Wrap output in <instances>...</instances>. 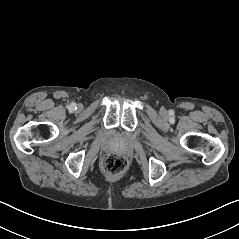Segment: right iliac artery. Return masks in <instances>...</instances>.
Segmentation results:
<instances>
[{
    "label": "right iliac artery",
    "instance_id": "1",
    "mask_svg": "<svg viewBox=\"0 0 239 239\" xmlns=\"http://www.w3.org/2000/svg\"><path fill=\"white\" fill-rule=\"evenodd\" d=\"M69 109L71 111L75 110L76 109V103H72L70 106H69Z\"/></svg>",
    "mask_w": 239,
    "mask_h": 239
}]
</instances>
